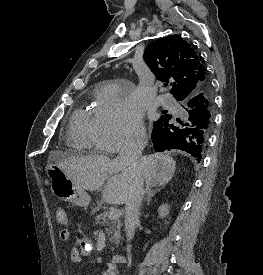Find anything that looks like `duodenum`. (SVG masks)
I'll list each match as a JSON object with an SVG mask.
<instances>
[{"label":"duodenum","instance_id":"duodenum-1","mask_svg":"<svg viewBox=\"0 0 263 275\" xmlns=\"http://www.w3.org/2000/svg\"><path fill=\"white\" fill-rule=\"evenodd\" d=\"M125 256L123 254H116L113 256L111 262L108 264V266L111 269H116L117 265L120 263L125 262Z\"/></svg>","mask_w":263,"mask_h":275}]
</instances>
